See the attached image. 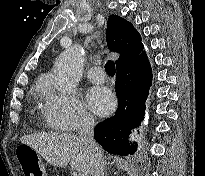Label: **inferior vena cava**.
I'll return each mask as SVG.
<instances>
[{"mask_svg":"<svg viewBox=\"0 0 205 176\" xmlns=\"http://www.w3.org/2000/svg\"><path fill=\"white\" fill-rule=\"evenodd\" d=\"M93 128L94 119L84 116L78 129V139L93 155L91 176H104V159L101 149L94 140Z\"/></svg>","mask_w":205,"mask_h":176,"instance_id":"obj_1","label":"inferior vena cava"}]
</instances>
